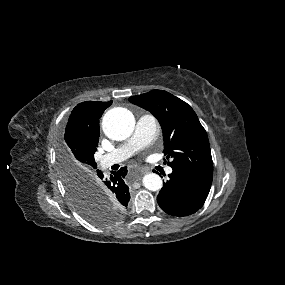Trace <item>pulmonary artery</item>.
Returning a JSON list of instances; mask_svg holds the SVG:
<instances>
[{
	"mask_svg": "<svg viewBox=\"0 0 285 285\" xmlns=\"http://www.w3.org/2000/svg\"><path fill=\"white\" fill-rule=\"evenodd\" d=\"M158 132L159 126L154 116L149 114L141 116L136 123L131 138L113 151L99 158L101 168L106 169L126 160L136 151L151 143L157 137ZM172 171L170 167L166 169L168 174L172 173Z\"/></svg>",
	"mask_w": 285,
	"mask_h": 285,
	"instance_id": "pulmonary-artery-1",
	"label": "pulmonary artery"
}]
</instances>
